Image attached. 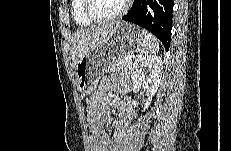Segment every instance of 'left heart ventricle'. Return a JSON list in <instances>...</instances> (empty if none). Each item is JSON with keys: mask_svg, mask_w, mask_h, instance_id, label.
Instances as JSON below:
<instances>
[{"mask_svg": "<svg viewBox=\"0 0 231 151\" xmlns=\"http://www.w3.org/2000/svg\"><path fill=\"white\" fill-rule=\"evenodd\" d=\"M124 0H92V11L99 17L117 13L123 6Z\"/></svg>", "mask_w": 231, "mask_h": 151, "instance_id": "left-heart-ventricle-1", "label": "left heart ventricle"}]
</instances>
